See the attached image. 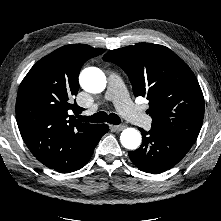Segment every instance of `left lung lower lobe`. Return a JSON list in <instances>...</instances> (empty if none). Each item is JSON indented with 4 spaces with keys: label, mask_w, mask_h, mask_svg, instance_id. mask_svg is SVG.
I'll list each match as a JSON object with an SVG mask.
<instances>
[{
    "label": "left lung lower lobe",
    "mask_w": 221,
    "mask_h": 221,
    "mask_svg": "<svg viewBox=\"0 0 221 221\" xmlns=\"http://www.w3.org/2000/svg\"><path fill=\"white\" fill-rule=\"evenodd\" d=\"M140 131L143 138L140 148L128 154L138 169L147 173L159 174L174 167L192 146L180 137L157 129Z\"/></svg>",
    "instance_id": "1"
}]
</instances>
